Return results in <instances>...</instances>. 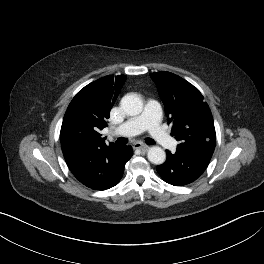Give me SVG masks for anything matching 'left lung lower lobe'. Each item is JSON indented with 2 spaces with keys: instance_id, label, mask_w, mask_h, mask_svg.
<instances>
[{
  "instance_id": "1",
  "label": "left lung lower lobe",
  "mask_w": 264,
  "mask_h": 264,
  "mask_svg": "<svg viewBox=\"0 0 264 264\" xmlns=\"http://www.w3.org/2000/svg\"><path fill=\"white\" fill-rule=\"evenodd\" d=\"M167 159L156 167L162 179L174 186H184L197 180L207 168L210 159L171 153L166 150Z\"/></svg>"
}]
</instances>
